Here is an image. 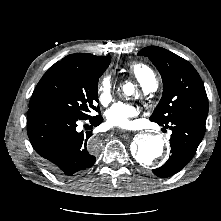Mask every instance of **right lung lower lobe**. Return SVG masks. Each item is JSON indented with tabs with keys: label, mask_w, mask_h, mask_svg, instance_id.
<instances>
[{
	"label": "right lung lower lobe",
	"mask_w": 221,
	"mask_h": 221,
	"mask_svg": "<svg viewBox=\"0 0 221 221\" xmlns=\"http://www.w3.org/2000/svg\"><path fill=\"white\" fill-rule=\"evenodd\" d=\"M83 120L55 110L31 107L27 116V133L40 161L59 177H74L95 162L92 132H77ZM94 127L102 123L100 115L87 119ZM91 126V127H92Z\"/></svg>",
	"instance_id": "1"
}]
</instances>
